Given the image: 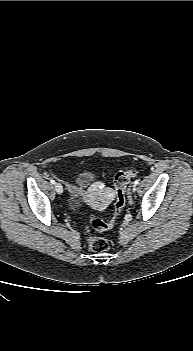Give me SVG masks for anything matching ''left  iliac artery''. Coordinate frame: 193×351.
I'll return each instance as SVG.
<instances>
[{"label":"left iliac artery","mask_w":193,"mask_h":351,"mask_svg":"<svg viewBox=\"0 0 193 351\" xmlns=\"http://www.w3.org/2000/svg\"><path fill=\"white\" fill-rule=\"evenodd\" d=\"M139 179H136L135 181H134V185H138L139 184Z\"/></svg>","instance_id":"obj_1"}]
</instances>
